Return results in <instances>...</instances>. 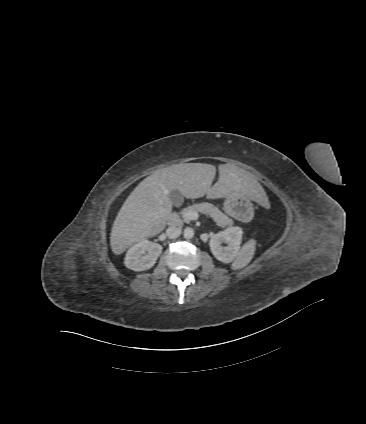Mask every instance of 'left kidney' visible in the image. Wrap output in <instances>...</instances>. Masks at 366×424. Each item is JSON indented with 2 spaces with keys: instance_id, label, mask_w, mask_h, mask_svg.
I'll return each instance as SVG.
<instances>
[{
  "instance_id": "left-kidney-1",
  "label": "left kidney",
  "mask_w": 366,
  "mask_h": 424,
  "mask_svg": "<svg viewBox=\"0 0 366 424\" xmlns=\"http://www.w3.org/2000/svg\"><path fill=\"white\" fill-rule=\"evenodd\" d=\"M243 231L239 227H230L214 234L209 242L210 250L214 257L223 262H232L239 253ZM222 243L227 246L223 247Z\"/></svg>"
}]
</instances>
